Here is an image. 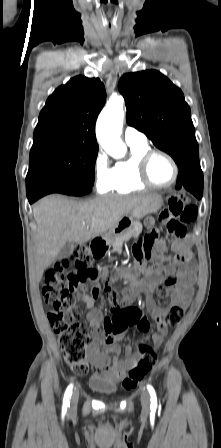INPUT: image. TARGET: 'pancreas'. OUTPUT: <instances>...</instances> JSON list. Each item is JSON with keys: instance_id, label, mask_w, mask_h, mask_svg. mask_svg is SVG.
<instances>
[{"instance_id": "pancreas-1", "label": "pancreas", "mask_w": 221, "mask_h": 448, "mask_svg": "<svg viewBox=\"0 0 221 448\" xmlns=\"http://www.w3.org/2000/svg\"><path fill=\"white\" fill-rule=\"evenodd\" d=\"M141 231H142V225L135 224L133 227L125 231L122 235L115 238V240L112 243L113 249L115 251H120L125 241L129 240L133 236L139 235Z\"/></svg>"}]
</instances>
